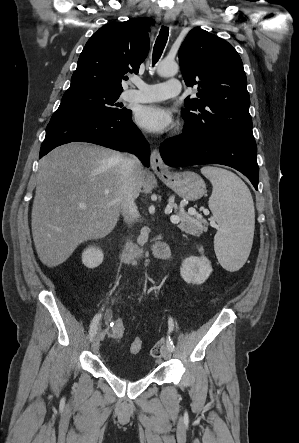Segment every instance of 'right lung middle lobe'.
<instances>
[{
    "label": "right lung middle lobe",
    "instance_id": "obj_1",
    "mask_svg": "<svg viewBox=\"0 0 299 443\" xmlns=\"http://www.w3.org/2000/svg\"><path fill=\"white\" fill-rule=\"evenodd\" d=\"M121 92L93 88H69L63 95L57 111L91 115H122L129 110L116 103Z\"/></svg>",
    "mask_w": 299,
    "mask_h": 443
}]
</instances>
